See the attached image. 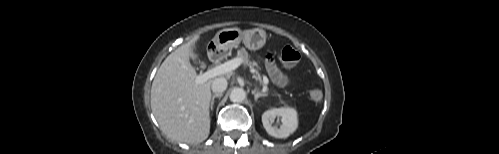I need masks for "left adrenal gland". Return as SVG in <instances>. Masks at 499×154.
<instances>
[{"mask_svg": "<svg viewBox=\"0 0 499 154\" xmlns=\"http://www.w3.org/2000/svg\"><path fill=\"white\" fill-rule=\"evenodd\" d=\"M251 93L254 95L255 101H257L258 98H260V97H266L268 95L267 93H261V92H259L257 89L252 90Z\"/></svg>", "mask_w": 499, "mask_h": 154, "instance_id": "obj_1", "label": "left adrenal gland"}]
</instances>
